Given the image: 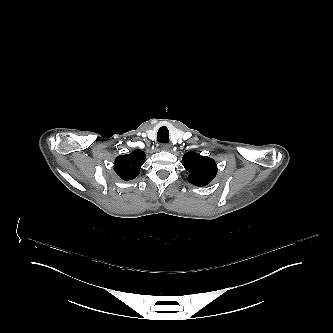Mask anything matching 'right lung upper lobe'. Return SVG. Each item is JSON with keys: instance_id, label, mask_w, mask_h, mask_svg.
<instances>
[{"instance_id": "right-lung-upper-lobe-1", "label": "right lung upper lobe", "mask_w": 333, "mask_h": 333, "mask_svg": "<svg viewBox=\"0 0 333 333\" xmlns=\"http://www.w3.org/2000/svg\"><path fill=\"white\" fill-rule=\"evenodd\" d=\"M145 158L146 155L142 150H134L130 154L120 155L115 160L114 170L123 180H132L139 174Z\"/></svg>"}]
</instances>
